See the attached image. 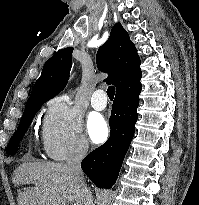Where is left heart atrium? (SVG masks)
Segmentation results:
<instances>
[{"label":"left heart atrium","instance_id":"left-heart-atrium-1","mask_svg":"<svg viewBox=\"0 0 199 205\" xmlns=\"http://www.w3.org/2000/svg\"><path fill=\"white\" fill-rule=\"evenodd\" d=\"M87 129L89 137L94 143L103 142L108 136L107 124L99 115H94L88 120Z\"/></svg>","mask_w":199,"mask_h":205}]
</instances>
